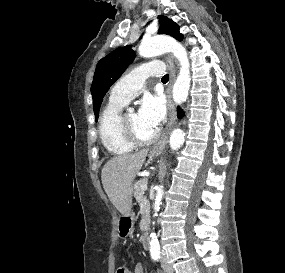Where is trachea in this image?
Segmentation results:
<instances>
[{
  "label": "trachea",
  "instance_id": "obj_1",
  "mask_svg": "<svg viewBox=\"0 0 285 273\" xmlns=\"http://www.w3.org/2000/svg\"><path fill=\"white\" fill-rule=\"evenodd\" d=\"M162 80H169V75H164L163 77H162Z\"/></svg>",
  "mask_w": 285,
  "mask_h": 273
}]
</instances>
